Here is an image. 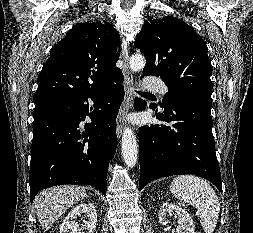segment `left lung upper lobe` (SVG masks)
<instances>
[{"label": "left lung upper lobe", "mask_w": 253, "mask_h": 233, "mask_svg": "<svg viewBox=\"0 0 253 233\" xmlns=\"http://www.w3.org/2000/svg\"><path fill=\"white\" fill-rule=\"evenodd\" d=\"M134 45L146 58L142 76L160 77L169 89L161 107L191 97L211 100L212 65L207 46L184 21L171 16L149 18Z\"/></svg>", "instance_id": "obj_1"}]
</instances>
